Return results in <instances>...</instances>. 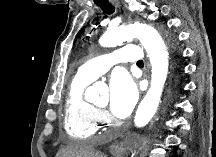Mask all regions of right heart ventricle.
Instances as JSON below:
<instances>
[{
    "instance_id": "right-heart-ventricle-1",
    "label": "right heart ventricle",
    "mask_w": 216,
    "mask_h": 157,
    "mask_svg": "<svg viewBox=\"0 0 216 157\" xmlns=\"http://www.w3.org/2000/svg\"><path fill=\"white\" fill-rule=\"evenodd\" d=\"M90 82L75 75L66 93L63 126L66 133L75 138H90L98 129L99 111L84 95Z\"/></svg>"
}]
</instances>
